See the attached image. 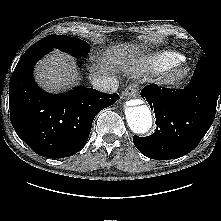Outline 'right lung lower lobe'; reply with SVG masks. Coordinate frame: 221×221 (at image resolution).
<instances>
[{
  "mask_svg": "<svg viewBox=\"0 0 221 221\" xmlns=\"http://www.w3.org/2000/svg\"><path fill=\"white\" fill-rule=\"evenodd\" d=\"M51 50L50 45L36 42L19 60L9 86L10 119L18 136L35 153L63 158L85 146L94 117L119 95L80 86L56 95L43 91L34 81L33 68Z\"/></svg>",
  "mask_w": 221,
  "mask_h": 221,
  "instance_id": "98d812e1",
  "label": "right lung lower lobe"
}]
</instances>
